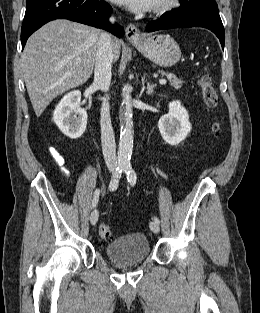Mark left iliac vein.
Here are the masks:
<instances>
[{
  "label": "left iliac vein",
  "instance_id": "4c4485c4",
  "mask_svg": "<svg viewBox=\"0 0 260 313\" xmlns=\"http://www.w3.org/2000/svg\"><path fill=\"white\" fill-rule=\"evenodd\" d=\"M150 229L154 232V233H159L160 231V227L159 224H157L155 221H151L150 224Z\"/></svg>",
  "mask_w": 260,
  "mask_h": 313
}]
</instances>
